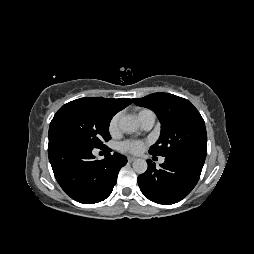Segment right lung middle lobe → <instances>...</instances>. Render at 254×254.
Masks as SVG:
<instances>
[{"instance_id":"dd1d6c3e","label":"right lung middle lobe","mask_w":254,"mask_h":254,"mask_svg":"<svg viewBox=\"0 0 254 254\" xmlns=\"http://www.w3.org/2000/svg\"><path fill=\"white\" fill-rule=\"evenodd\" d=\"M114 114L101 102L80 98L63 105L54 115L50 137L77 140L93 148H104L111 139L109 124Z\"/></svg>"}]
</instances>
